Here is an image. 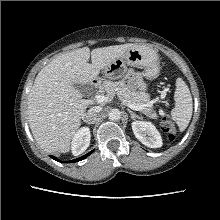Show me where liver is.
I'll use <instances>...</instances> for the list:
<instances>
[{
  "label": "liver",
  "mask_w": 220,
  "mask_h": 220,
  "mask_svg": "<svg viewBox=\"0 0 220 220\" xmlns=\"http://www.w3.org/2000/svg\"><path fill=\"white\" fill-rule=\"evenodd\" d=\"M136 46L122 44L96 48L83 47L62 54L46 65L35 78L28 96V122L34 138L47 152L67 153L71 140L81 126L86 108L74 84H88L100 71Z\"/></svg>",
  "instance_id": "obj_1"
}]
</instances>
